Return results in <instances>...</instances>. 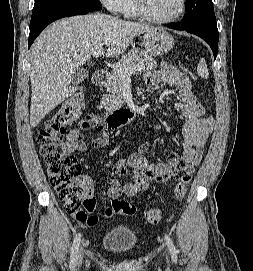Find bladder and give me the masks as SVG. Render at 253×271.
<instances>
[{
    "label": "bladder",
    "mask_w": 253,
    "mask_h": 271,
    "mask_svg": "<svg viewBox=\"0 0 253 271\" xmlns=\"http://www.w3.org/2000/svg\"><path fill=\"white\" fill-rule=\"evenodd\" d=\"M138 234L125 225L109 228L101 237V247L111 253L122 255L131 252L138 244Z\"/></svg>",
    "instance_id": "31cf9c89"
}]
</instances>
